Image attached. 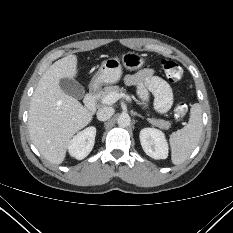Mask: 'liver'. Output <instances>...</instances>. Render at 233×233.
Instances as JSON below:
<instances>
[{
  "instance_id": "obj_1",
  "label": "liver",
  "mask_w": 233,
  "mask_h": 233,
  "mask_svg": "<svg viewBox=\"0 0 233 233\" xmlns=\"http://www.w3.org/2000/svg\"><path fill=\"white\" fill-rule=\"evenodd\" d=\"M77 76V56L54 62L42 75L31 97L28 127L31 140L41 155L61 164L73 135L87 126L94 112L60 87L63 78Z\"/></svg>"
}]
</instances>
